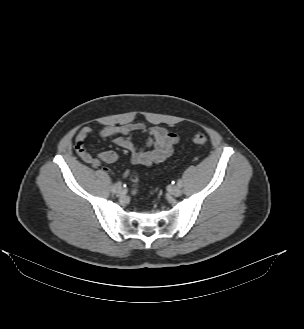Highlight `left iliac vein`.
Masks as SVG:
<instances>
[{
  "mask_svg": "<svg viewBox=\"0 0 304 329\" xmlns=\"http://www.w3.org/2000/svg\"><path fill=\"white\" fill-rule=\"evenodd\" d=\"M181 193H182V191H181L179 186H173L170 190V194L175 196V197L180 196Z\"/></svg>",
  "mask_w": 304,
  "mask_h": 329,
  "instance_id": "left-iliac-vein-1",
  "label": "left iliac vein"
}]
</instances>
